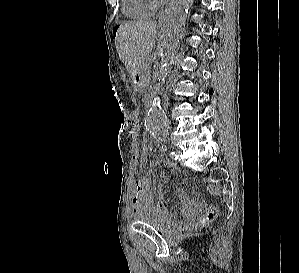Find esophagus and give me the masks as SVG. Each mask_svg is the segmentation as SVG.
Instances as JSON below:
<instances>
[{"instance_id":"esophagus-1","label":"esophagus","mask_w":299,"mask_h":273,"mask_svg":"<svg viewBox=\"0 0 299 273\" xmlns=\"http://www.w3.org/2000/svg\"><path fill=\"white\" fill-rule=\"evenodd\" d=\"M172 2L169 3V5L165 8V10L161 13L160 17H159V24H163L166 22L167 18H168V14L171 8Z\"/></svg>"}]
</instances>
